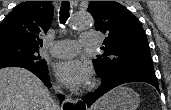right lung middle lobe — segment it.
Listing matches in <instances>:
<instances>
[{
  "instance_id": "obj_1",
  "label": "right lung middle lobe",
  "mask_w": 171,
  "mask_h": 110,
  "mask_svg": "<svg viewBox=\"0 0 171 110\" xmlns=\"http://www.w3.org/2000/svg\"><path fill=\"white\" fill-rule=\"evenodd\" d=\"M23 67L41 72L48 71L47 63L39 55L38 48L15 44L0 45V68Z\"/></svg>"
}]
</instances>
